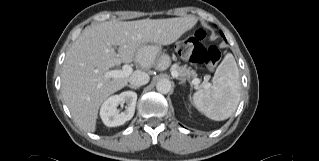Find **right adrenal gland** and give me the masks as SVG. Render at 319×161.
<instances>
[{
	"label": "right adrenal gland",
	"instance_id": "obj_1",
	"mask_svg": "<svg viewBox=\"0 0 319 161\" xmlns=\"http://www.w3.org/2000/svg\"><path fill=\"white\" fill-rule=\"evenodd\" d=\"M128 87H130L131 89H139V87H135V86H132V85H127Z\"/></svg>",
	"mask_w": 319,
	"mask_h": 161
}]
</instances>
